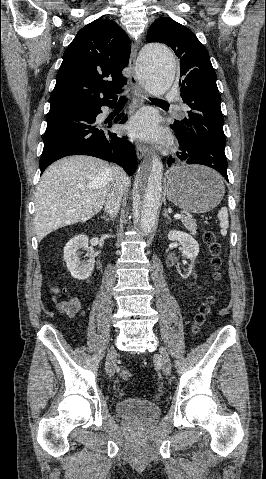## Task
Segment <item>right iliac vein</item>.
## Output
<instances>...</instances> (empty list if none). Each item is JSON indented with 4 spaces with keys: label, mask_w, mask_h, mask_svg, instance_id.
<instances>
[{
    "label": "right iliac vein",
    "mask_w": 266,
    "mask_h": 479,
    "mask_svg": "<svg viewBox=\"0 0 266 479\" xmlns=\"http://www.w3.org/2000/svg\"><path fill=\"white\" fill-rule=\"evenodd\" d=\"M116 354V349L114 347H111L106 359V370L108 372H112L115 368Z\"/></svg>",
    "instance_id": "63e3f726"
}]
</instances>
